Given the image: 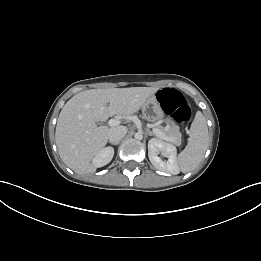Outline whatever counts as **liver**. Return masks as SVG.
<instances>
[{
  "label": "liver",
  "mask_w": 261,
  "mask_h": 261,
  "mask_svg": "<svg viewBox=\"0 0 261 261\" xmlns=\"http://www.w3.org/2000/svg\"><path fill=\"white\" fill-rule=\"evenodd\" d=\"M155 87L90 89L74 95L62 108L55 140L62 161L78 174H92L91 163L108 141L107 126L97 127L114 115H132L156 93Z\"/></svg>",
  "instance_id": "obj_1"
}]
</instances>
